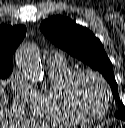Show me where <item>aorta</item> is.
Listing matches in <instances>:
<instances>
[{"instance_id":"aorta-1","label":"aorta","mask_w":125,"mask_h":128,"mask_svg":"<svg viewBox=\"0 0 125 128\" xmlns=\"http://www.w3.org/2000/svg\"><path fill=\"white\" fill-rule=\"evenodd\" d=\"M17 61L20 65L29 68L35 77L39 79L43 77V71L39 58L34 53L31 46L26 45L19 50Z\"/></svg>"}]
</instances>
